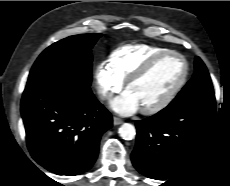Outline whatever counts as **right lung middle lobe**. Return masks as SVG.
Segmentation results:
<instances>
[{"label":"right lung middle lobe","mask_w":230,"mask_h":186,"mask_svg":"<svg viewBox=\"0 0 230 186\" xmlns=\"http://www.w3.org/2000/svg\"><path fill=\"white\" fill-rule=\"evenodd\" d=\"M101 34L70 36L45 49L34 63L27 85L66 76L89 86L91 84V49Z\"/></svg>","instance_id":"dd1d6c3e"}]
</instances>
